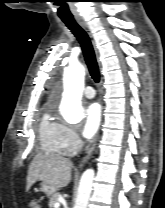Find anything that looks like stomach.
I'll list each match as a JSON object with an SVG mask.
<instances>
[{"mask_svg":"<svg viewBox=\"0 0 165 208\" xmlns=\"http://www.w3.org/2000/svg\"><path fill=\"white\" fill-rule=\"evenodd\" d=\"M40 190L43 193H45L48 197H51L57 191L53 186H51V185H49L47 183H44V182L41 183Z\"/></svg>","mask_w":165,"mask_h":208,"instance_id":"obj_1","label":"stomach"}]
</instances>
